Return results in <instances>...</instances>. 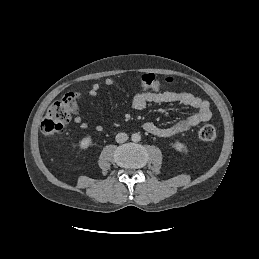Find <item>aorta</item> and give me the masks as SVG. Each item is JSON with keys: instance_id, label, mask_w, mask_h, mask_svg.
Returning <instances> with one entry per match:
<instances>
[{"instance_id": "aorta-1", "label": "aorta", "mask_w": 259, "mask_h": 259, "mask_svg": "<svg viewBox=\"0 0 259 259\" xmlns=\"http://www.w3.org/2000/svg\"><path fill=\"white\" fill-rule=\"evenodd\" d=\"M131 139L133 142H138L141 140V136L138 133H134V134H132Z\"/></svg>"}]
</instances>
